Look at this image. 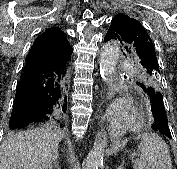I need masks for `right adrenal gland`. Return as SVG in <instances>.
<instances>
[{
    "label": "right adrenal gland",
    "mask_w": 177,
    "mask_h": 169,
    "mask_svg": "<svg viewBox=\"0 0 177 169\" xmlns=\"http://www.w3.org/2000/svg\"><path fill=\"white\" fill-rule=\"evenodd\" d=\"M49 169H60L58 164V150L55 153V160L49 165Z\"/></svg>",
    "instance_id": "2a0ac1e0"
}]
</instances>
